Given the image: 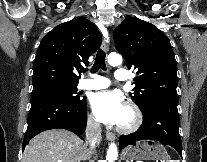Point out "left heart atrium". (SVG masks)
<instances>
[{
	"label": "left heart atrium",
	"instance_id": "39dd6f15",
	"mask_svg": "<svg viewBox=\"0 0 207 162\" xmlns=\"http://www.w3.org/2000/svg\"><path fill=\"white\" fill-rule=\"evenodd\" d=\"M90 105L96 119L105 124H119L126 109L125 100L117 91L93 94Z\"/></svg>",
	"mask_w": 207,
	"mask_h": 162
}]
</instances>
